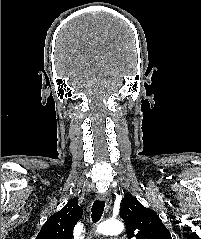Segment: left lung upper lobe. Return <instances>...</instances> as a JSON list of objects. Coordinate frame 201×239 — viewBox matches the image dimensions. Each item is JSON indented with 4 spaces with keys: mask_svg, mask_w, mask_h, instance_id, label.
I'll return each instance as SVG.
<instances>
[{
    "mask_svg": "<svg viewBox=\"0 0 201 239\" xmlns=\"http://www.w3.org/2000/svg\"><path fill=\"white\" fill-rule=\"evenodd\" d=\"M120 217L125 221L128 239H172L157 213L131 195L122 199Z\"/></svg>",
    "mask_w": 201,
    "mask_h": 239,
    "instance_id": "left-lung-upper-lobe-1",
    "label": "left lung upper lobe"
}]
</instances>
